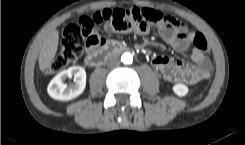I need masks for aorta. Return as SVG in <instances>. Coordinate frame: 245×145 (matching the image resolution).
<instances>
[{
	"mask_svg": "<svg viewBox=\"0 0 245 145\" xmlns=\"http://www.w3.org/2000/svg\"><path fill=\"white\" fill-rule=\"evenodd\" d=\"M121 61H122L124 64H131L132 61H133V56H132V54L129 53V52L123 53V55L121 56Z\"/></svg>",
	"mask_w": 245,
	"mask_h": 145,
	"instance_id": "1",
	"label": "aorta"
}]
</instances>
